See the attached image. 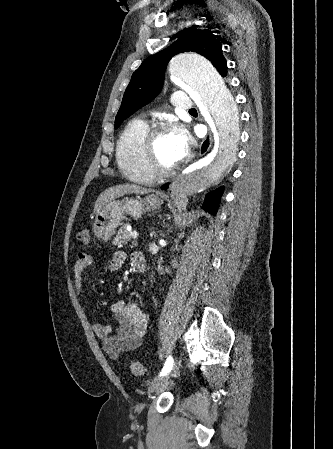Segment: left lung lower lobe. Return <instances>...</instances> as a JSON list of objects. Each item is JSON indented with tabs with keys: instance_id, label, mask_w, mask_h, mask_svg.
I'll use <instances>...</instances> for the list:
<instances>
[{
	"instance_id": "obj_1",
	"label": "left lung lower lobe",
	"mask_w": 333,
	"mask_h": 449,
	"mask_svg": "<svg viewBox=\"0 0 333 449\" xmlns=\"http://www.w3.org/2000/svg\"><path fill=\"white\" fill-rule=\"evenodd\" d=\"M225 77L226 75H222ZM168 185H164L162 189L166 190ZM224 187H220L206 195V201L203 205V209L208 211L209 213L215 215L217 211L218 204L220 202L221 195L223 193Z\"/></svg>"
}]
</instances>
